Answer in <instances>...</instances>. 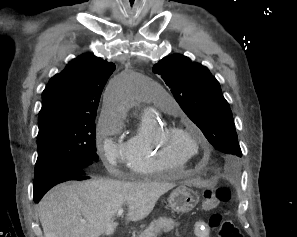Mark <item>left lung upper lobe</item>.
I'll return each mask as SVG.
<instances>
[{
	"label": "left lung upper lobe",
	"instance_id": "left-lung-upper-lobe-1",
	"mask_svg": "<svg viewBox=\"0 0 297 237\" xmlns=\"http://www.w3.org/2000/svg\"><path fill=\"white\" fill-rule=\"evenodd\" d=\"M153 72L161 76L182 110L216 150L229 159L242 156L230 106L206 67L174 54L155 64Z\"/></svg>",
	"mask_w": 297,
	"mask_h": 237
}]
</instances>
